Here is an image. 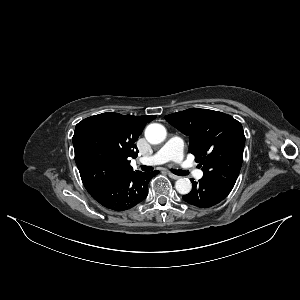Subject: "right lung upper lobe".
Wrapping results in <instances>:
<instances>
[{
    "label": "right lung upper lobe",
    "mask_w": 300,
    "mask_h": 300,
    "mask_svg": "<svg viewBox=\"0 0 300 300\" xmlns=\"http://www.w3.org/2000/svg\"><path fill=\"white\" fill-rule=\"evenodd\" d=\"M156 115L133 116L119 113H102L88 117L76 125L94 129L108 153L111 155L119 178L133 171L129 159L136 158L138 149L135 144L146 123L154 120Z\"/></svg>",
    "instance_id": "right-lung-upper-lobe-1"
}]
</instances>
